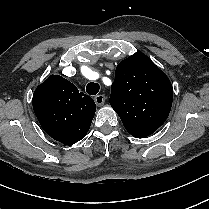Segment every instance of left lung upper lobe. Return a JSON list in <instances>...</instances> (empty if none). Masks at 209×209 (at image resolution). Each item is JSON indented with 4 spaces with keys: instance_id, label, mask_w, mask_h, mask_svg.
Listing matches in <instances>:
<instances>
[{
    "instance_id": "5c2ea615",
    "label": "left lung upper lobe",
    "mask_w": 209,
    "mask_h": 209,
    "mask_svg": "<svg viewBox=\"0 0 209 209\" xmlns=\"http://www.w3.org/2000/svg\"><path fill=\"white\" fill-rule=\"evenodd\" d=\"M172 99L170 80L143 53L118 64L110 104L132 136L144 138L154 133L167 119Z\"/></svg>"
}]
</instances>
